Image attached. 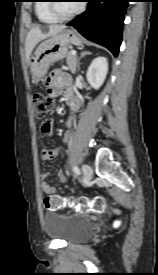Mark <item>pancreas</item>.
<instances>
[{
    "instance_id": "pancreas-1",
    "label": "pancreas",
    "mask_w": 158,
    "mask_h": 275,
    "mask_svg": "<svg viewBox=\"0 0 158 275\" xmlns=\"http://www.w3.org/2000/svg\"><path fill=\"white\" fill-rule=\"evenodd\" d=\"M66 62H67V65H68V68L70 69V71L72 73H75L76 67L78 65L77 56L76 55H72V53L69 52L68 55H67V57H66Z\"/></svg>"
}]
</instances>
